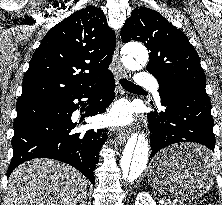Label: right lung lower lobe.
Here are the masks:
<instances>
[{"mask_svg":"<svg viewBox=\"0 0 222 205\" xmlns=\"http://www.w3.org/2000/svg\"><path fill=\"white\" fill-rule=\"evenodd\" d=\"M113 74L94 82L69 97H38L17 101L12 138L13 157L7 176L21 163L34 158H50L65 162L83 173L95 184L94 169L99 161V151L106 141V130L76 132L82 120L73 122L72 113L78 109L82 98L91 103L86 116L106 111L114 99ZM79 100L78 104L73 101ZM84 106V104H82Z\"/></svg>","mask_w":222,"mask_h":205,"instance_id":"right-lung-lower-lobe-1","label":"right lung lower lobe"}]
</instances>
